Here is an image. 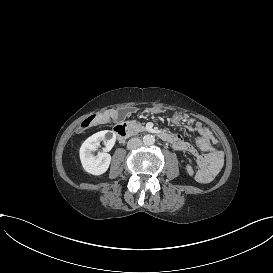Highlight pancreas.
<instances>
[{
    "label": "pancreas",
    "instance_id": "cf45deb5",
    "mask_svg": "<svg viewBox=\"0 0 273 273\" xmlns=\"http://www.w3.org/2000/svg\"><path fill=\"white\" fill-rule=\"evenodd\" d=\"M127 125L136 132H142L144 130L143 124L137 119L128 120Z\"/></svg>",
    "mask_w": 273,
    "mask_h": 273
}]
</instances>
